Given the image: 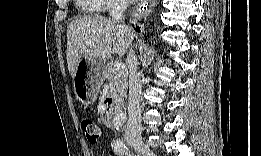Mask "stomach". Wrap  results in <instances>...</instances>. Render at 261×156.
<instances>
[{
	"label": "stomach",
	"instance_id": "obj_1",
	"mask_svg": "<svg viewBox=\"0 0 261 156\" xmlns=\"http://www.w3.org/2000/svg\"><path fill=\"white\" fill-rule=\"evenodd\" d=\"M106 65L105 59L94 58L86 60L84 72L77 69L73 78L74 91L78 100L84 105H91L96 101Z\"/></svg>",
	"mask_w": 261,
	"mask_h": 156
}]
</instances>
